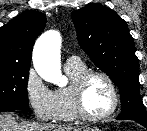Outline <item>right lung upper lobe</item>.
<instances>
[{
	"mask_svg": "<svg viewBox=\"0 0 147 131\" xmlns=\"http://www.w3.org/2000/svg\"><path fill=\"white\" fill-rule=\"evenodd\" d=\"M46 25V16L30 10L0 28V64L29 66L33 44Z\"/></svg>",
	"mask_w": 147,
	"mask_h": 131,
	"instance_id": "right-lung-upper-lobe-1",
	"label": "right lung upper lobe"
}]
</instances>
